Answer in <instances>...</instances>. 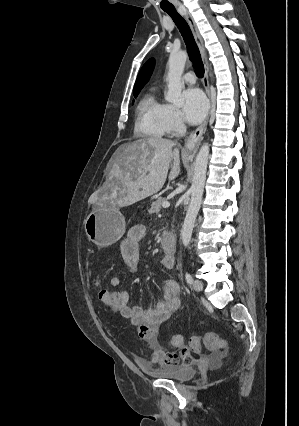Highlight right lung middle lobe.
Segmentation results:
<instances>
[{
    "mask_svg": "<svg viewBox=\"0 0 299 426\" xmlns=\"http://www.w3.org/2000/svg\"><path fill=\"white\" fill-rule=\"evenodd\" d=\"M140 91L137 92H133L134 97H137V95L139 94Z\"/></svg>",
    "mask_w": 299,
    "mask_h": 426,
    "instance_id": "right-lung-middle-lobe-1",
    "label": "right lung middle lobe"
}]
</instances>
